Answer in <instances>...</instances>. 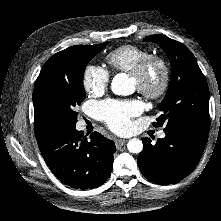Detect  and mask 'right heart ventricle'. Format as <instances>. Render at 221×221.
Wrapping results in <instances>:
<instances>
[{"instance_id": "1", "label": "right heart ventricle", "mask_w": 221, "mask_h": 221, "mask_svg": "<svg viewBox=\"0 0 221 221\" xmlns=\"http://www.w3.org/2000/svg\"><path fill=\"white\" fill-rule=\"evenodd\" d=\"M151 52L145 48L135 45H122L110 51L105 59L114 73H130Z\"/></svg>"}]
</instances>
